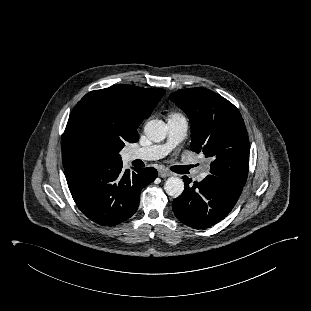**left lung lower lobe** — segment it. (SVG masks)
I'll return each instance as SVG.
<instances>
[{
    "label": "left lung lower lobe",
    "instance_id": "obj_1",
    "mask_svg": "<svg viewBox=\"0 0 311 311\" xmlns=\"http://www.w3.org/2000/svg\"><path fill=\"white\" fill-rule=\"evenodd\" d=\"M191 181L184 177L185 189L173 200V211L182 223L196 229L211 227L224 219L243 190L242 186L212 174L192 186Z\"/></svg>",
    "mask_w": 311,
    "mask_h": 311
}]
</instances>
